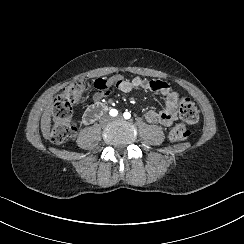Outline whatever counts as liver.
Listing matches in <instances>:
<instances>
[{"label": "liver", "mask_w": 244, "mask_h": 244, "mask_svg": "<svg viewBox=\"0 0 244 244\" xmlns=\"http://www.w3.org/2000/svg\"><path fill=\"white\" fill-rule=\"evenodd\" d=\"M54 109V99L51 98L50 104L47 105L41 118V132L44 139H49L51 130V114Z\"/></svg>", "instance_id": "6515ba94"}]
</instances>
